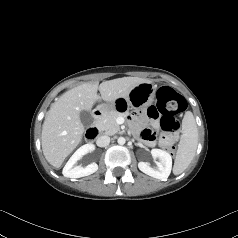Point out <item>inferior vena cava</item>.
Segmentation results:
<instances>
[{
	"instance_id": "602c4592",
	"label": "inferior vena cava",
	"mask_w": 238,
	"mask_h": 238,
	"mask_svg": "<svg viewBox=\"0 0 238 238\" xmlns=\"http://www.w3.org/2000/svg\"><path fill=\"white\" fill-rule=\"evenodd\" d=\"M110 143V137L107 135L99 136L96 140V144L99 147H106Z\"/></svg>"
}]
</instances>
